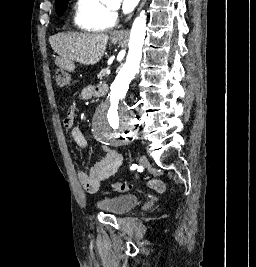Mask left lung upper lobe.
Returning <instances> with one entry per match:
<instances>
[{
    "mask_svg": "<svg viewBox=\"0 0 256 267\" xmlns=\"http://www.w3.org/2000/svg\"><path fill=\"white\" fill-rule=\"evenodd\" d=\"M69 0H56V12L60 16L66 10Z\"/></svg>",
    "mask_w": 256,
    "mask_h": 267,
    "instance_id": "5c2ea615",
    "label": "left lung upper lobe"
}]
</instances>
